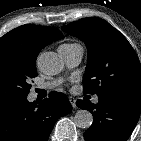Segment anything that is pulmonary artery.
Wrapping results in <instances>:
<instances>
[{
  "label": "pulmonary artery",
  "instance_id": "pulmonary-artery-1",
  "mask_svg": "<svg viewBox=\"0 0 141 141\" xmlns=\"http://www.w3.org/2000/svg\"><path fill=\"white\" fill-rule=\"evenodd\" d=\"M58 53L60 56L63 58L65 63L70 66L74 67L78 65L82 59L83 56V48L79 44H73L69 46L61 45L58 48ZM62 79H54L51 81H47L39 86V88L42 89H52L59 84H61ZM93 102L97 103L98 102V97L95 96L93 98Z\"/></svg>",
  "mask_w": 141,
  "mask_h": 141
}]
</instances>
